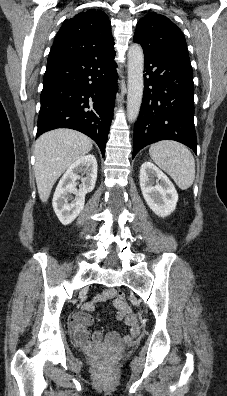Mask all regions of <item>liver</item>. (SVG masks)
<instances>
[{"label":"liver","mask_w":227,"mask_h":396,"mask_svg":"<svg viewBox=\"0 0 227 396\" xmlns=\"http://www.w3.org/2000/svg\"><path fill=\"white\" fill-rule=\"evenodd\" d=\"M93 142L71 129H56L41 135L35 144V177L40 200L46 202L57 179L75 161L89 153Z\"/></svg>","instance_id":"1"}]
</instances>
